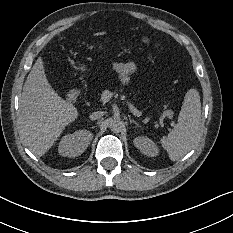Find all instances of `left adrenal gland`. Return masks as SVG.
Instances as JSON below:
<instances>
[{"label":"left adrenal gland","mask_w":233,"mask_h":233,"mask_svg":"<svg viewBox=\"0 0 233 233\" xmlns=\"http://www.w3.org/2000/svg\"><path fill=\"white\" fill-rule=\"evenodd\" d=\"M129 121H130V123H134L137 127H140L139 124L135 120L130 119Z\"/></svg>","instance_id":"a2214340"}]
</instances>
